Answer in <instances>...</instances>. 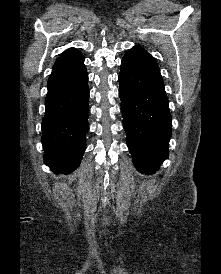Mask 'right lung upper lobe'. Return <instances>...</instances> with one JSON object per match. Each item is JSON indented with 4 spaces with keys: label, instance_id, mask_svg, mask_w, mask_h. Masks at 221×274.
Returning <instances> with one entry per match:
<instances>
[{
    "label": "right lung upper lobe",
    "instance_id": "right-lung-upper-lobe-1",
    "mask_svg": "<svg viewBox=\"0 0 221 274\" xmlns=\"http://www.w3.org/2000/svg\"><path fill=\"white\" fill-rule=\"evenodd\" d=\"M83 58V55L81 54L80 51L74 48H70L66 51H64L61 56L56 60L53 70L62 68L64 66H67L69 64L75 63L78 60Z\"/></svg>",
    "mask_w": 221,
    "mask_h": 274
}]
</instances>
